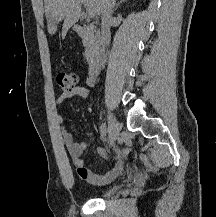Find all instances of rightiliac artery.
Returning a JSON list of instances; mask_svg holds the SVG:
<instances>
[{"instance_id":"1","label":"right iliac artery","mask_w":216,"mask_h":217,"mask_svg":"<svg viewBox=\"0 0 216 217\" xmlns=\"http://www.w3.org/2000/svg\"><path fill=\"white\" fill-rule=\"evenodd\" d=\"M100 132L102 137H105L107 134V126L105 123H102V125L100 126Z\"/></svg>"}]
</instances>
